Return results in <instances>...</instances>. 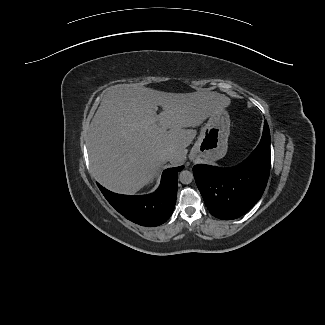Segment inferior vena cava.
<instances>
[{
    "label": "inferior vena cava",
    "instance_id": "1",
    "mask_svg": "<svg viewBox=\"0 0 325 325\" xmlns=\"http://www.w3.org/2000/svg\"><path fill=\"white\" fill-rule=\"evenodd\" d=\"M172 157H173V154L170 151H163L160 154V159H161L162 162L170 161L172 159Z\"/></svg>",
    "mask_w": 325,
    "mask_h": 325
}]
</instances>
